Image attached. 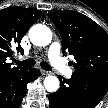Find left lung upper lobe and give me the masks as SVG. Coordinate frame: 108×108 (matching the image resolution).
<instances>
[{"instance_id": "left-lung-upper-lobe-1", "label": "left lung upper lobe", "mask_w": 108, "mask_h": 108, "mask_svg": "<svg viewBox=\"0 0 108 108\" xmlns=\"http://www.w3.org/2000/svg\"><path fill=\"white\" fill-rule=\"evenodd\" d=\"M50 15L62 37L63 55L74 56V74L108 77L107 33L76 11H57Z\"/></svg>"}]
</instances>
